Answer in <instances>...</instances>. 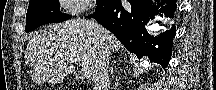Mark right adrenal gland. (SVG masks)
I'll use <instances>...</instances> for the list:
<instances>
[{"mask_svg": "<svg viewBox=\"0 0 216 90\" xmlns=\"http://www.w3.org/2000/svg\"><path fill=\"white\" fill-rule=\"evenodd\" d=\"M111 74H112V78H113V80H114L115 76H114L113 66H111Z\"/></svg>", "mask_w": 216, "mask_h": 90, "instance_id": "1", "label": "right adrenal gland"}]
</instances>
